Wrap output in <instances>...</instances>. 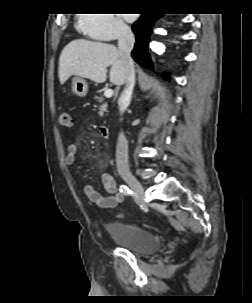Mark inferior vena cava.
Masks as SVG:
<instances>
[{"label": "inferior vena cava", "instance_id": "inferior-vena-cava-1", "mask_svg": "<svg viewBox=\"0 0 252 303\" xmlns=\"http://www.w3.org/2000/svg\"><path fill=\"white\" fill-rule=\"evenodd\" d=\"M134 43L135 37L130 27L125 23H120L118 26V51L127 70L125 88L118 99L120 114H123L130 104L135 85V69L131 58V51L134 47ZM116 167L120 175H128L130 173L128 163V142L123 133L119 134L117 140Z\"/></svg>", "mask_w": 252, "mask_h": 303}]
</instances>
